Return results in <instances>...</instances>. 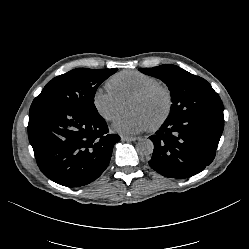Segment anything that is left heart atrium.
Wrapping results in <instances>:
<instances>
[{
    "label": "left heart atrium",
    "mask_w": 249,
    "mask_h": 249,
    "mask_svg": "<svg viewBox=\"0 0 249 249\" xmlns=\"http://www.w3.org/2000/svg\"><path fill=\"white\" fill-rule=\"evenodd\" d=\"M149 124L145 118L138 113L118 115L115 117L111 129L120 134H138L146 131Z\"/></svg>",
    "instance_id": "obj_1"
}]
</instances>
